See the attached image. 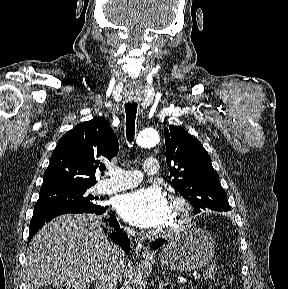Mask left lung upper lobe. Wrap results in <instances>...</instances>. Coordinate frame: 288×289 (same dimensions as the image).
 <instances>
[{
	"label": "left lung upper lobe",
	"instance_id": "5c2ea615",
	"mask_svg": "<svg viewBox=\"0 0 288 289\" xmlns=\"http://www.w3.org/2000/svg\"><path fill=\"white\" fill-rule=\"evenodd\" d=\"M166 161L180 195L194 206L196 213L206 209L231 210L226 192L219 183L211 158L201 143L177 126L164 129Z\"/></svg>",
	"mask_w": 288,
	"mask_h": 289
}]
</instances>
